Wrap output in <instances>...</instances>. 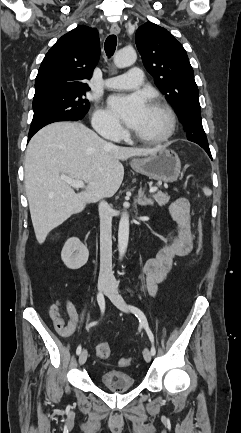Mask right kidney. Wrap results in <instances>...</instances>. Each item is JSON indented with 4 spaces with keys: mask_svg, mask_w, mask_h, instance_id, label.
I'll return each mask as SVG.
<instances>
[{
    "mask_svg": "<svg viewBox=\"0 0 241 433\" xmlns=\"http://www.w3.org/2000/svg\"><path fill=\"white\" fill-rule=\"evenodd\" d=\"M89 251L78 238L68 239L61 252V259L67 268L77 270L88 261Z\"/></svg>",
    "mask_w": 241,
    "mask_h": 433,
    "instance_id": "obj_1",
    "label": "right kidney"
}]
</instances>
